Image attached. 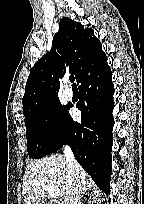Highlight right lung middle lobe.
Returning <instances> with one entry per match:
<instances>
[{
    "label": "right lung middle lobe",
    "instance_id": "1",
    "mask_svg": "<svg viewBox=\"0 0 144 204\" xmlns=\"http://www.w3.org/2000/svg\"><path fill=\"white\" fill-rule=\"evenodd\" d=\"M68 109L55 99L25 117L30 158L39 159L49 154L60 138Z\"/></svg>",
    "mask_w": 144,
    "mask_h": 204
}]
</instances>
